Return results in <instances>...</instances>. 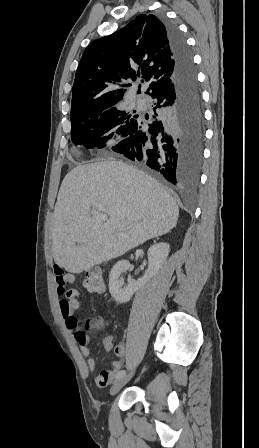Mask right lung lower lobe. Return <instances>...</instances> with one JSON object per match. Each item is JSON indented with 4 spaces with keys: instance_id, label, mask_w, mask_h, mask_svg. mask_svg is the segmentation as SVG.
Segmentation results:
<instances>
[{
    "instance_id": "1",
    "label": "right lung lower lobe",
    "mask_w": 259,
    "mask_h": 448,
    "mask_svg": "<svg viewBox=\"0 0 259 448\" xmlns=\"http://www.w3.org/2000/svg\"><path fill=\"white\" fill-rule=\"evenodd\" d=\"M166 27L174 62L169 91L151 96L154 114L146 124L137 116L123 139L112 150L132 161H142L175 186H194L202 166L204 118L200 87L193 57L178 28Z\"/></svg>"
}]
</instances>
